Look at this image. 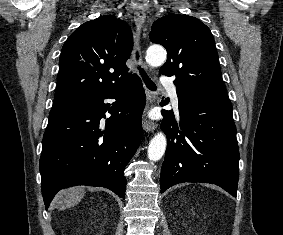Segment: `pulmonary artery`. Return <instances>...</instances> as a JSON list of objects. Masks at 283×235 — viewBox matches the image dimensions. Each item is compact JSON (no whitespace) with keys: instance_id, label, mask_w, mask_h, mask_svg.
<instances>
[{"instance_id":"obj_1","label":"pulmonary artery","mask_w":283,"mask_h":235,"mask_svg":"<svg viewBox=\"0 0 283 235\" xmlns=\"http://www.w3.org/2000/svg\"><path fill=\"white\" fill-rule=\"evenodd\" d=\"M163 84L169 89V91L171 92V98H172V102L175 106L178 105V97L176 95V86L174 85V83L172 81H170L167 78H163Z\"/></svg>"}]
</instances>
